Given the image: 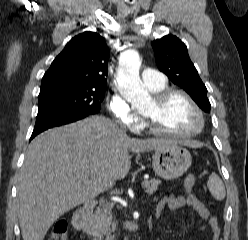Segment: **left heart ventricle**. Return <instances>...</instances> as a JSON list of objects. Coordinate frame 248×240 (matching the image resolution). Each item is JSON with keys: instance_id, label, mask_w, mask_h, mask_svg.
<instances>
[{"instance_id": "1", "label": "left heart ventricle", "mask_w": 248, "mask_h": 240, "mask_svg": "<svg viewBox=\"0 0 248 240\" xmlns=\"http://www.w3.org/2000/svg\"><path fill=\"white\" fill-rule=\"evenodd\" d=\"M144 115L163 130L173 132H190L199 126V118L189 104L180 95L171 97L164 106L158 107L154 99Z\"/></svg>"}]
</instances>
